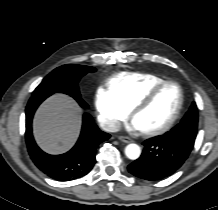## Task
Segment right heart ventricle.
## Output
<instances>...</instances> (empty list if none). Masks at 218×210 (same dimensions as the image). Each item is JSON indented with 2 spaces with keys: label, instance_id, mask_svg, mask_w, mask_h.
I'll use <instances>...</instances> for the list:
<instances>
[{
  "label": "right heart ventricle",
  "instance_id": "obj_1",
  "mask_svg": "<svg viewBox=\"0 0 218 210\" xmlns=\"http://www.w3.org/2000/svg\"><path fill=\"white\" fill-rule=\"evenodd\" d=\"M164 80L151 73H121L108 81V89L131 110L152 87Z\"/></svg>",
  "mask_w": 218,
  "mask_h": 210
}]
</instances>
